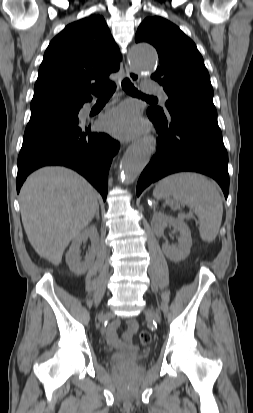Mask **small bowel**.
<instances>
[{"mask_svg": "<svg viewBox=\"0 0 253 413\" xmlns=\"http://www.w3.org/2000/svg\"><path fill=\"white\" fill-rule=\"evenodd\" d=\"M120 323L118 321H114L111 325L105 330V338L106 341L115 348H124L126 344L132 341L134 334L138 329V324L134 320H130L127 322V327L122 337L118 336V328Z\"/></svg>", "mask_w": 253, "mask_h": 413, "instance_id": "1", "label": "small bowel"}]
</instances>
